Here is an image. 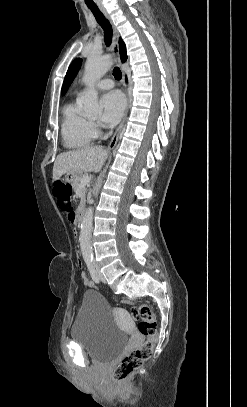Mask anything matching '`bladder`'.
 Masks as SVG:
<instances>
[{"instance_id": "1", "label": "bladder", "mask_w": 247, "mask_h": 407, "mask_svg": "<svg viewBox=\"0 0 247 407\" xmlns=\"http://www.w3.org/2000/svg\"><path fill=\"white\" fill-rule=\"evenodd\" d=\"M70 334L72 340L96 361L113 359L129 340L128 332L116 323L111 305L94 290L84 292Z\"/></svg>"}]
</instances>
